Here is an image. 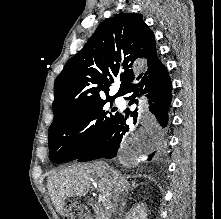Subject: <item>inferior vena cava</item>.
Wrapping results in <instances>:
<instances>
[{
  "label": "inferior vena cava",
  "instance_id": "602c4592",
  "mask_svg": "<svg viewBox=\"0 0 221 219\" xmlns=\"http://www.w3.org/2000/svg\"><path fill=\"white\" fill-rule=\"evenodd\" d=\"M103 167H106V163L103 162ZM125 197L126 196H122L119 198L115 210L113 211V214L116 216L115 219H121L123 210H124V205H125Z\"/></svg>",
  "mask_w": 221,
  "mask_h": 219
}]
</instances>
